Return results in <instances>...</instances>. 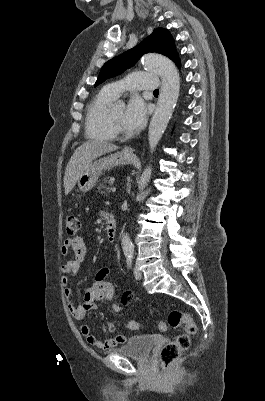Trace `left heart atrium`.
<instances>
[{"label": "left heart atrium", "mask_w": 265, "mask_h": 401, "mask_svg": "<svg viewBox=\"0 0 265 401\" xmlns=\"http://www.w3.org/2000/svg\"><path fill=\"white\" fill-rule=\"evenodd\" d=\"M125 124L131 130L140 129L147 119V109L143 100L132 97L125 110Z\"/></svg>", "instance_id": "obj_1"}]
</instances>
